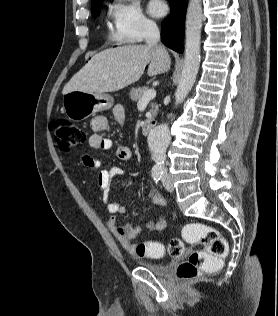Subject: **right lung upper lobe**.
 <instances>
[{"label":"right lung upper lobe","mask_w":278,"mask_h":316,"mask_svg":"<svg viewBox=\"0 0 278 316\" xmlns=\"http://www.w3.org/2000/svg\"><path fill=\"white\" fill-rule=\"evenodd\" d=\"M101 1H103V0H92V7L97 5Z\"/></svg>","instance_id":"obj_1"}]
</instances>
